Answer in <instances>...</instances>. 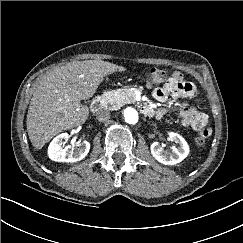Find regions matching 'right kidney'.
<instances>
[{
    "mask_svg": "<svg viewBox=\"0 0 243 243\" xmlns=\"http://www.w3.org/2000/svg\"><path fill=\"white\" fill-rule=\"evenodd\" d=\"M69 139L68 133H62L56 136L48 147V156L51 160L56 162H77L86 157L90 150V143L84 141L79 145V148L67 145L62 147L64 141Z\"/></svg>",
    "mask_w": 243,
    "mask_h": 243,
    "instance_id": "ca27d5eb",
    "label": "right kidney"
}]
</instances>
